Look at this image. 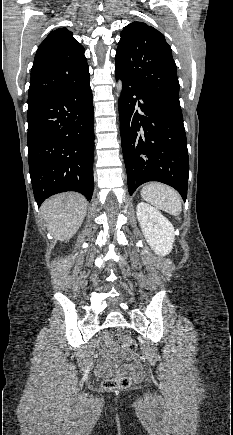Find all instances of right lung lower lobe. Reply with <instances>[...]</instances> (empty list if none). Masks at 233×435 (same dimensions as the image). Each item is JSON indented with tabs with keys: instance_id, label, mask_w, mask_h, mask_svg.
Here are the masks:
<instances>
[{
	"instance_id": "1",
	"label": "right lung lower lobe",
	"mask_w": 233,
	"mask_h": 435,
	"mask_svg": "<svg viewBox=\"0 0 233 435\" xmlns=\"http://www.w3.org/2000/svg\"><path fill=\"white\" fill-rule=\"evenodd\" d=\"M89 72L46 99L29 105V172L38 206L49 196L94 189V117Z\"/></svg>"
}]
</instances>
